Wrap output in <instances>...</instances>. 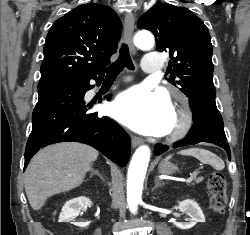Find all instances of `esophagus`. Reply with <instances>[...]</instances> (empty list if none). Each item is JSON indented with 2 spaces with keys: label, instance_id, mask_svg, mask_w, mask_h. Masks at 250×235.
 <instances>
[{
  "label": "esophagus",
  "instance_id": "1",
  "mask_svg": "<svg viewBox=\"0 0 250 235\" xmlns=\"http://www.w3.org/2000/svg\"><path fill=\"white\" fill-rule=\"evenodd\" d=\"M133 31H134V15L133 13H128L124 20V37L129 45L130 51L136 54V48L133 44ZM142 139L137 136H131V144L135 148L142 143Z\"/></svg>",
  "mask_w": 250,
  "mask_h": 235
}]
</instances>
